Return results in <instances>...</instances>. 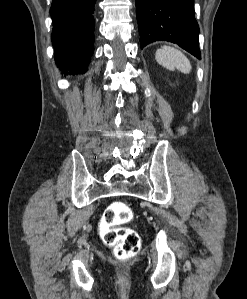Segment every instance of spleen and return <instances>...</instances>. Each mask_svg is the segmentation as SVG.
Returning <instances> with one entry per match:
<instances>
[{
  "instance_id": "3e777b00",
  "label": "spleen",
  "mask_w": 247,
  "mask_h": 299,
  "mask_svg": "<svg viewBox=\"0 0 247 299\" xmlns=\"http://www.w3.org/2000/svg\"><path fill=\"white\" fill-rule=\"evenodd\" d=\"M155 59L160 65L172 71L178 69L188 74L192 68L189 59L181 51L169 46L158 49Z\"/></svg>"
}]
</instances>
